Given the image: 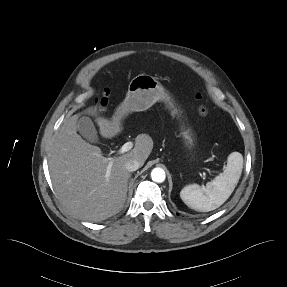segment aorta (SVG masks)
<instances>
[{"mask_svg": "<svg viewBox=\"0 0 287 287\" xmlns=\"http://www.w3.org/2000/svg\"><path fill=\"white\" fill-rule=\"evenodd\" d=\"M151 178L154 182H157V183H162L165 181V178H166V174H165V171L162 169V168H154L152 171H151Z\"/></svg>", "mask_w": 287, "mask_h": 287, "instance_id": "762f6f07", "label": "aorta"}]
</instances>
